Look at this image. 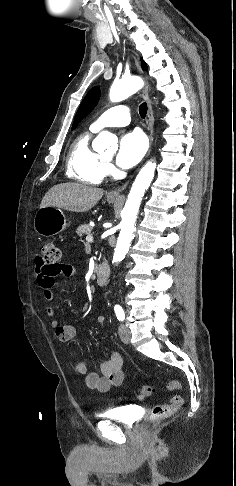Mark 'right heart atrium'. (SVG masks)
Returning a JSON list of instances; mask_svg holds the SVG:
<instances>
[{"mask_svg":"<svg viewBox=\"0 0 236 486\" xmlns=\"http://www.w3.org/2000/svg\"><path fill=\"white\" fill-rule=\"evenodd\" d=\"M113 171V166L110 163H105V173L110 174Z\"/></svg>","mask_w":236,"mask_h":486,"instance_id":"d8ad5b80","label":"right heart atrium"}]
</instances>
